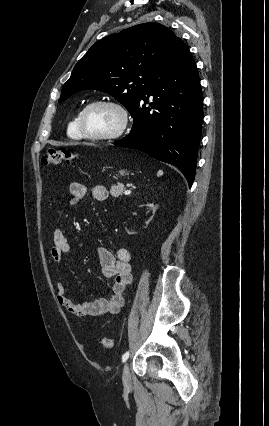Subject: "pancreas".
Instances as JSON below:
<instances>
[{"instance_id":"obj_1","label":"pancreas","mask_w":269,"mask_h":426,"mask_svg":"<svg viewBox=\"0 0 269 426\" xmlns=\"http://www.w3.org/2000/svg\"><path fill=\"white\" fill-rule=\"evenodd\" d=\"M125 191V186L123 184L118 183L117 185H112L110 189V194L112 197H119Z\"/></svg>"}]
</instances>
